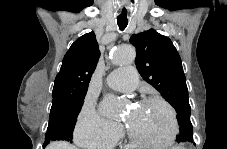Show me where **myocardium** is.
<instances>
[{"label":"myocardium","mask_w":227,"mask_h":149,"mask_svg":"<svg viewBox=\"0 0 227 149\" xmlns=\"http://www.w3.org/2000/svg\"><path fill=\"white\" fill-rule=\"evenodd\" d=\"M152 102L162 104L170 112L171 119H172V131H171L170 135L165 140H161V141L148 140V139H145V138L139 136L138 134H136L134 132V130L132 129V127L127 122L125 124L126 131L129 135L130 139L137 145L150 146V147L169 146L174 142V140L179 132V122H178L177 112H176L175 108L167 100H165L159 96L144 97L138 101V105H142L145 103H152Z\"/></svg>","instance_id":"obj_1"}]
</instances>
